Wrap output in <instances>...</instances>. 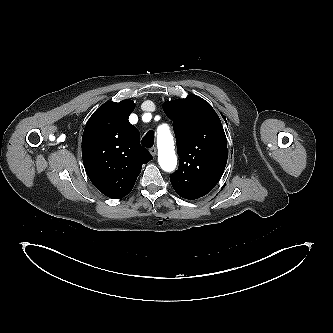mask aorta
I'll return each mask as SVG.
<instances>
[{"mask_svg": "<svg viewBox=\"0 0 333 333\" xmlns=\"http://www.w3.org/2000/svg\"><path fill=\"white\" fill-rule=\"evenodd\" d=\"M157 146H158V162L165 171H172L177 164V157L174 150V141L172 134L166 125L158 128Z\"/></svg>", "mask_w": 333, "mask_h": 333, "instance_id": "obj_1", "label": "aorta"}]
</instances>
